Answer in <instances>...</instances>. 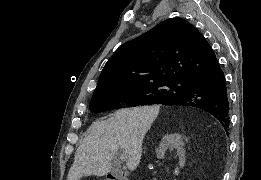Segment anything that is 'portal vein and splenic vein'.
Returning a JSON list of instances; mask_svg holds the SVG:
<instances>
[{"instance_id": "portal-vein-and-splenic-vein-1", "label": "portal vein and splenic vein", "mask_w": 261, "mask_h": 180, "mask_svg": "<svg viewBox=\"0 0 261 180\" xmlns=\"http://www.w3.org/2000/svg\"><path fill=\"white\" fill-rule=\"evenodd\" d=\"M120 158L121 160H123V162H127V154H125V152H122V154H120Z\"/></svg>"}]
</instances>
